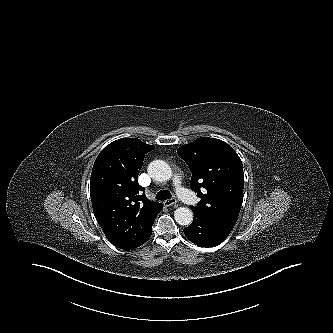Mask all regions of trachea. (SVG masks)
<instances>
[{"instance_id": "3493384b", "label": "trachea", "mask_w": 333, "mask_h": 333, "mask_svg": "<svg viewBox=\"0 0 333 333\" xmlns=\"http://www.w3.org/2000/svg\"><path fill=\"white\" fill-rule=\"evenodd\" d=\"M171 197L172 195L168 190H160L156 195L157 200H169Z\"/></svg>"}]
</instances>
